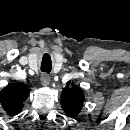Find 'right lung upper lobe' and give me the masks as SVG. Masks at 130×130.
Returning a JSON list of instances; mask_svg holds the SVG:
<instances>
[{
    "instance_id": "1",
    "label": "right lung upper lobe",
    "mask_w": 130,
    "mask_h": 130,
    "mask_svg": "<svg viewBox=\"0 0 130 130\" xmlns=\"http://www.w3.org/2000/svg\"><path fill=\"white\" fill-rule=\"evenodd\" d=\"M30 89L23 83H12L0 92V102L3 109L10 116L19 114L23 109V102L28 98Z\"/></svg>"
}]
</instances>
